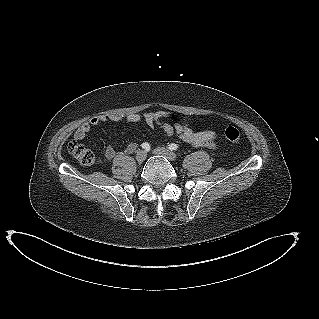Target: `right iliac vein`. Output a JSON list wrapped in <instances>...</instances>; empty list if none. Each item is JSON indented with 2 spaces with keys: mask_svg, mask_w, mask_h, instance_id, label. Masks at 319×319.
Here are the masks:
<instances>
[{
  "mask_svg": "<svg viewBox=\"0 0 319 319\" xmlns=\"http://www.w3.org/2000/svg\"><path fill=\"white\" fill-rule=\"evenodd\" d=\"M146 157H147V153L144 150H140L136 154V160L138 162H143L146 159Z\"/></svg>",
  "mask_w": 319,
  "mask_h": 319,
  "instance_id": "right-iliac-vein-1",
  "label": "right iliac vein"
}]
</instances>
